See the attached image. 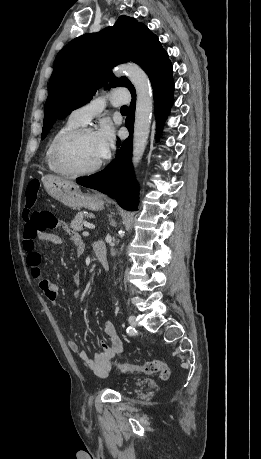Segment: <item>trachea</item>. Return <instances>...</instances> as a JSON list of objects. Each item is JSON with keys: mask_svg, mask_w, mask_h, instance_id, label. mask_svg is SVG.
I'll return each instance as SVG.
<instances>
[{"mask_svg": "<svg viewBox=\"0 0 261 459\" xmlns=\"http://www.w3.org/2000/svg\"><path fill=\"white\" fill-rule=\"evenodd\" d=\"M120 110L121 111H128V107L127 106H122Z\"/></svg>", "mask_w": 261, "mask_h": 459, "instance_id": "3493384b", "label": "trachea"}]
</instances>
